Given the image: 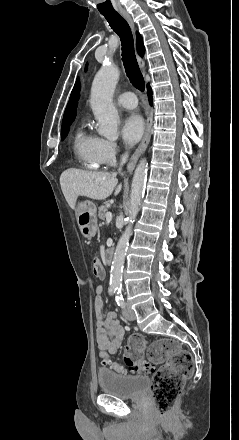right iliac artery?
<instances>
[{
	"mask_svg": "<svg viewBox=\"0 0 239 440\" xmlns=\"http://www.w3.org/2000/svg\"><path fill=\"white\" fill-rule=\"evenodd\" d=\"M117 289H118L117 287L111 286L108 290L109 294H111V295L114 294L117 291Z\"/></svg>",
	"mask_w": 239,
	"mask_h": 440,
	"instance_id": "82829eb1",
	"label": "right iliac artery"
}]
</instances>
